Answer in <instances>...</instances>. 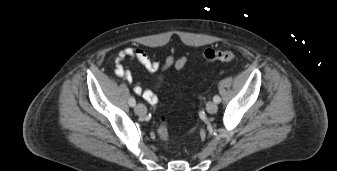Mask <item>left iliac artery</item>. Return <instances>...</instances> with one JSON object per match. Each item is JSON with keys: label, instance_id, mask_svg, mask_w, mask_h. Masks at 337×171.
Returning <instances> with one entry per match:
<instances>
[{"label": "left iliac artery", "instance_id": "obj_1", "mask_svg": "<svg viewBox=\"0 0 337 171\" xmlns=\"http://www.w3.org/2000/svg\"><path fill=\"white\" fill-rule=\"evenodd\" d=\"M213 101H214L215 103H220V102H221V98H220L218 95H215V96L213 97Z\"/></svg>", "mask_w": 337, "mask_h": 171}]
</instances>
